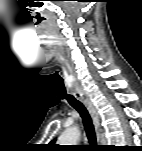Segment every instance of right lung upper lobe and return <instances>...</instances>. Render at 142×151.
Here are the masks:
<instances>
[{
	"instance_id": "1",
	"label": "right lung upper lobe",
	"mask_w": 142,
	"mask_h": 151,
	"mask_svg": "<svg viewBox=\"0 0 142 151\" xmlns=\"http://www.w3.org/2000/svg\"><path fill=\"white\" fill-rule=\"evenodd\" d=\"M54 142H55V140L51 141V143H50V146H51V147H55Z\"/></svg>"
}]
</instances>
